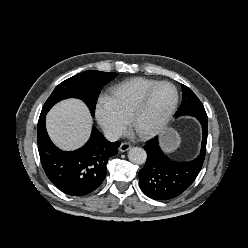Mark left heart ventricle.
Here are the masks:
<instances>
[{"mask_svg": "<svg viewBox=\"0 0 248 248\" xmlns=\"http://www.w3.org/2000/svg\"><path fill=\"white\" fill-rule=\"evenodd\" d=\"M173 100L174 91L171 87L162 85L156 88L137 119V130L144 131L155 126L166 115Z\"/></svg>", "mask_w": 248, "mask_h": 248, "instance_id": "b2bd125f", "label": "left heart ventricle"}]
</instances>
